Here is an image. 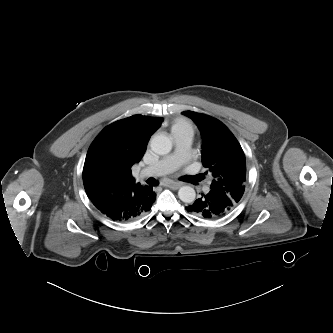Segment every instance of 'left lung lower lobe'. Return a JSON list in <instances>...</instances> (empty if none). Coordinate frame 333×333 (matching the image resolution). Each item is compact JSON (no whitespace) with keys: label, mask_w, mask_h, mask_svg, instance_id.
I'll list each match as a JSON object with an SVG mask.
<instances>
[{"label":"left lung lower lobe","mask_w":333,"mask_h":333,"mask_svg":"<svg viewBox=\"0 0 333 333\" xmlns=\"http://www.w3.org/2000/svg\"><path fill=\"white\" fill-rule=\"evenodd\" d=\"M235 207L236 204L226 194L210 189L186 209L200 218L216 220Z\"/></svg>","instance_id":"1"}]
</instances>
